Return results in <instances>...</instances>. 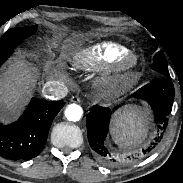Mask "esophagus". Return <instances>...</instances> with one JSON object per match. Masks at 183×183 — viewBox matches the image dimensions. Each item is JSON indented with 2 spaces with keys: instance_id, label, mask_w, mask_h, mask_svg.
I'll list each match as a JSON object with an SVG mask.
<instances>
[{
  "instance_id": "1",
  "label": "esophagus",
  "mask_w": 183,
  "mask_h": 183,
  "mask_svg": "<svg viewBox=\"0 0 183 183\" xmlns=\"http://www.w3.org/2000/svg\"><path fill=\"white\" fill-rule=\"evenodd\" d=\"M70 101L73 102V103H80L81 99L78 96H72L70 98Z\"/></svg>"
}]
</instances>
